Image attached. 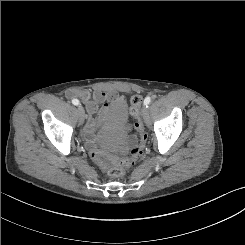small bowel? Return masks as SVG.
Instances as JSON below:
<instances>
[{"label":"small bowel","mask_w":245,"mask_h":245,"mask_svg":"<svg viewBox=\"0 0 245 245\" xmlns=\"http://www.w3.org/2000/svg\"><path fill=\"white\" fill-rule=\"evenodd\" d=\"M83 102L86 105L88 112V130H91L94 127L93 116L98 112V104H102L101 112L102 114H109L114 105L124 106L126 104V99L123 95H120L116 91H95V92H82L80 94ZM126 130L129 131V127H126ZM134 138L130 137L128 139V144H133Z\"/></svg>","instance_id":"obj_1"}]
</instances>
